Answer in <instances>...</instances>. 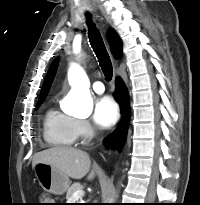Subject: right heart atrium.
I'll use <instances>...</instances> for the list:
<instances>
[{"label":"right heart atrium","instance_id":"obj_1","mask_svg":"<svg viewBox=\"0 0 200 205\" xmlns=\"http://www.w3.org/2000/svg\"><path fill=\"white\" fill-rule=\"evenodd\" d=\"M75 133L77 138H80L84 141L92 139L95 135V130L89 121L84 119H75Z\"/></svg>","mask_w":200,"mask_h":205}]
</instances>
